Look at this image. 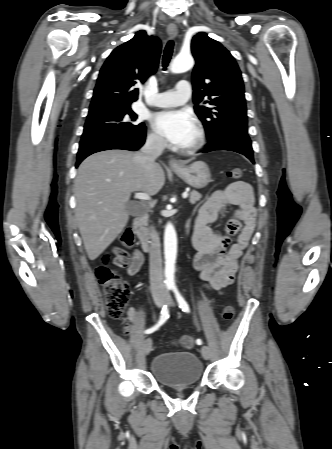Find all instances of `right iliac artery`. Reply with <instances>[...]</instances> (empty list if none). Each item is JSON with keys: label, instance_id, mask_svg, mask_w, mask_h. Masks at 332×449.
Segmentation results:
<instances>
[{"label": "right iliac artery", "instance_id": "1", "mask_svg": "<svg viewBox=\"0 0 332 449\" xmlns=\"http://www.w3.org/2000/svg\"><path fill=\"white\" fill-rule=\"evenodd\" d=\"M168 318H169V309H168V306H167V305H164L163 308H162V310H161V316H160V319H159L158 323H157L155 326H153V327H151V328L145 330V333H146V334H151V333H153V332L156 331L162 324H164Z\"/></svg>", "mask_w": 332, "mask_h": 449}]
</instances>
